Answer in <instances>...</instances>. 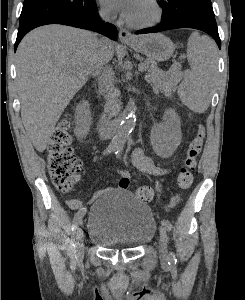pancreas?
<instances>
[{"instance_id":"cf45deb5","label":"pancreas","mask_w":245,"mask_h":300,"mask_svg":"<svg viewBox=\"0 0 245 300\" xmlns=\"http://www.w3.org/2000/svg\"><path fill=\"white\" fill-rule=\"evenodd\" d=\"M148 71L147 80L151 84L155 93H163L165 96H171L176 91L178 83L182 79V73L177 67L171 68L164 72L157 67V63L153 60L144 62ZM119 94L114 90L108 93L106 102V110L115 112L119 109L117 96Z\"/></svg>"}]
</instances>
